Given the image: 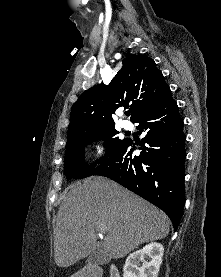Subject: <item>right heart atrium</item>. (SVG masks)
<instances>
[{"label": "right heart atrium", "mask_w": 221, "mask_h": 277, "mask_svg": "<svg viewBox=\"0 0 221 277\" xmlns=\"http://www.w3.org/2000/svg\"><path fill=\"white\" fill-rule=\"evenodd\" d=\"M95 152L97 154H102L103 153V147L101 144H97L96 147H95Z\"/></svg>", "instance_id": "right-heart-atrium-1"}]
</instances>
